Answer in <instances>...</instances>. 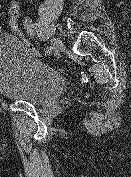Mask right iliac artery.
I'll use <instances>...</instances> for the list:
<instances>
[{
    "instance_id": "82829eb1",
    "label": "right iliac artery",
    "mask_w": 131,
    "mask_h": 177,
    "mask_svg": "<svg viewBox=\"0 0 131 177\" xmlns=\"http://www.w3.org/2000/svg\"><path fill=\"white\" fill-rule=\"evenodd\" d=\"M23 23H24V27H25L27 33L30 36H33L34 35V26H33L32 21L30 20V18L25 17L23 20ZM45 51H46V53L50 54L53 51V47L47 46Z\"/></svg>"
}]
</instances>
